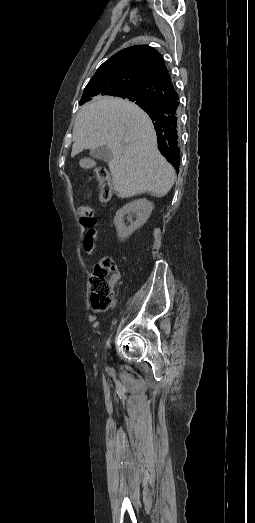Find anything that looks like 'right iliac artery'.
Returning a JSON list of instances; mask_svg holds the SVG:
<instances>
[{"label": "right iliac artery", "instance_id": "82829eb1", "mask_svg": "<svg viewBox=\"0 0 255 523\" xmlns=\"http://www.w3.org/2000/svg\"><path fill=\"white\" fill-rule=\"evenodd\" d=\"M110 342H111V339L109 338L106 342V348H110Z\"/></svg>", "mask_w": 255, "mask_h": 523}]
</instances>
